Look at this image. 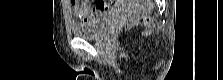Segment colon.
I'll return each instance as SVG.
<instances>
[{"label":"colon","instance_id":"obj_1","mask_svg":"<svg viewBox=\"0 0 223 80\" xmlns=\"http://www.w3.org/2000/svg\"><path fill=\"white\" fill-rule=\"evenodd\" d=\"M73 1H75V2H78L79 4H81V3H84V2H79V1H76V0H73ZM149 21V18H142L141 19V22H148Z\"/></svg>","mask_w":223,"mask_h":80}]
</instances>
